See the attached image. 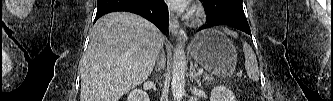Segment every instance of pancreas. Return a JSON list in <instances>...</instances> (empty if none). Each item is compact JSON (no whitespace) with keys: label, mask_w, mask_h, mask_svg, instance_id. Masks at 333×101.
<instances>
[{"label":"pancreas","mask_w":333,"mask_h":101,"mask_svg":"<svg viewBox=\"0 0 333 101\" xmlns=\"http://www.w3.org/2000/svg\"><path fill=\"white\" fill-rule=\"evenodd\" d=\"M205 80H207V81H211V80H212V77H211L210 75H206V76H205Z\"/></svg>","instance_id":"pancreas-1"}]
</instances>
